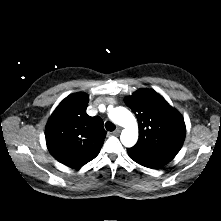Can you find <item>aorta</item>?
Listing matches in <instances>:
<instances>
[{"label":"aorta","instance_id":"aorta-1","mask_svg":"<svg viewBox=\"0 0 221 221\" xmlns=\"http://www.w3.org/2000/svg\"><path fill=\"white\" fill-rule=\"evenodd\" d=\"M109 118L124 129L120 140L125 147H132L138 140V125L134 115L125 107H115L109 111Z\"/></svg>","mask_w":221,"mask_h":221}]
</instances>
